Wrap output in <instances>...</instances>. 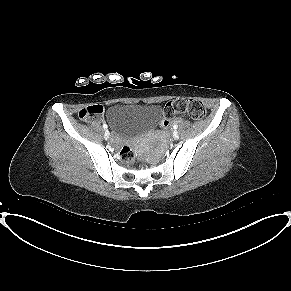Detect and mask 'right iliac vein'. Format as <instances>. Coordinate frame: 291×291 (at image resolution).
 I'll list each match as a JSON object with an SVG mask.
<instances>
[{"label": "right iliac vein", "mask_w": 291, "mask_h": 291, "mask_svg": "<svg viewBox=\"0 0 291 291\" xmlns=\"http://www.w3.org/2000/svg\"><path fill=\"white\" fill-rule=\"evenodd\" d=\"M109 135H110L109 131L106 130L104 133V138L107 140L109 138Z\"/></svg>", "instance_id": "obj_1"}]
</instances>
